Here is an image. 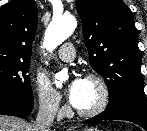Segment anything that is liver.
Returning <instances> with one entry per match:
<instances>
[{"label":"liver","mask_w":147,"mask_h":131,"mask_svg":"<svg viewBox=\"0 0 147 131\" xmlns=\"http://www.w3.org/2000/svg\"><path fill=\"white\" fill-rule=\"evenodd\" d=\"M0 131H36L34 124H29L25 120L14 117L0 115Z\"/></svg>","instance_id":"6515ba94"}]
</instances>
